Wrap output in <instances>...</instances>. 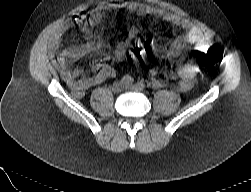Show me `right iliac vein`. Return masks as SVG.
Segmentation results:
<instances>
[{
    "label": "right iliac vein",
    "instance_id": "right-iliac-vein-1",
    "mask_svg": "<svg viewBox=\"0 0 251 192\" xmlns=\"http://www.w3.org/2000/svg\"><path fill=\"white\" fill-rule=\"evenodd\" d=\"M124 89V83L122 81H117L112 86V91L114 93H120Z\"/></svg>",
    "mask_w": 251,
    "mask_h": 192
}]
</instances>
